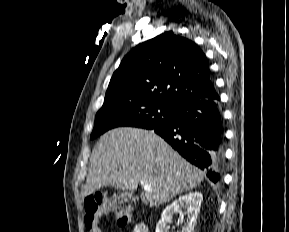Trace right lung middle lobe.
<instances>
[{
	"mask_svg": "<svg viewBox=\"0 0 289 232\" xmlns=\"http://www.w3.org/2000/svg\"><path fill=\"white\" fill-rule=\"evenodd\" d=\"M175 113L174 107L138 96L107 98L96 114L91 139L115 127H159L171 122Z\"/></svg>",
	"mask_w": 289,
	"mask_h": 232,
	"instance_id": "right-lung-middle-lobe-1",
	"label": "right lung middle lobe"
}]
</instances>
